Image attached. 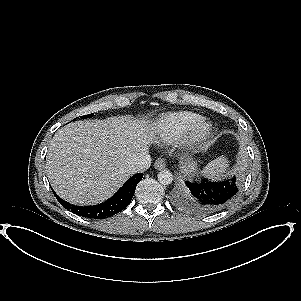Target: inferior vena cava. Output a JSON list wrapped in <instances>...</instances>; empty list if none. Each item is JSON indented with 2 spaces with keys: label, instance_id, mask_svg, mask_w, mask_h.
<instances>
[{
  "label": "inferior vena cava",
  "instance_id": "1",
  "mask_svg": "<svg viewBox=\"0 0 301 301\" xmlns=\"http://www.w3.org/2000/svg\"><path fill=\"white\" fill-rule=\"evenodd\" d=\"M151 165V157L149 154H145L142 158L138 159L130 168V171L134 173H142L146 171Z\"/></svg>",
  "mask_w": 301,
  "mask_h": 301
}]
</instances>
